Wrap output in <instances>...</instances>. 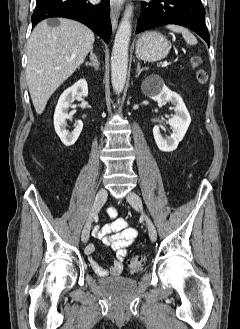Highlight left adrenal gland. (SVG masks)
Masks as SVG:
<instances>
[{
	"label": "left adrenal gland",
	"mask_w": 240,
	"mask_h": 329,
	"mask_svg": "<svg viewBox=\"0 0 240 329\" xmlns=\"http://www.w3.org/2000/svg\"><path fill=\"white\" fill-rule=\"evenodd\" d=\"M144 70H148V68L147 67L141 68L140 63H137V70H136L137 75H136V77H138L141 74V72L144 71Z\"/></svg>",
	"instance_id": "a2214340"
}]
</instances>
